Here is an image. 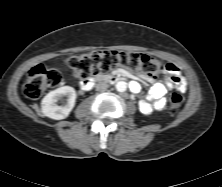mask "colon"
Here are the masks:
<instances>
[{"mask_svg": "<svg viewBox=\"0 0 222 187\" xmlns=\"http://www.w3.org/2000/svg\"><path fill=\"white\" fill-rule=\"evenodd\" d=\"M66 64L73 70L76 77L89 80L93 76L109 73L122 67L146 76H153L165 70V64L159 59L141 53L104 50L84 53L70 57ZM62 78L58 71L43 65L33 67L24 85V94L29 99L39 98L45 91L61 84ZM184 101L183 95L175 90L168 97V110L178 113Z\"/></svg>", "mask_w": 222, "mask_h": 187, "instance_id": "obj_1", "label": "colon"}]
</instances>
